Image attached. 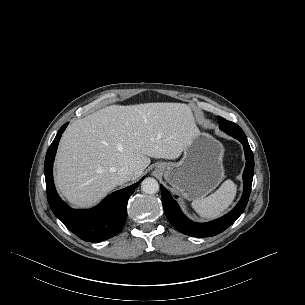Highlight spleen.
Wrapping results in <instances>:
<instances>
[{
  "label": "spleen",
  "mask_w": 305,
  "mask_h": 305,
  "mask_svg": "<svg viewBox=\"0 0 305 305\" xmlns=\"http://www.w3.org/2000/svg\"><path fill=\"white\" fill-rule=\"evenodd\" d=\"M236 190L235 183L226 180L213 194L193 200L192 207L203 218L214 219L220 217L232 204L236 196Z\"/></svg>",
  "instance_id": "spleen-1"
}]
</instances>
